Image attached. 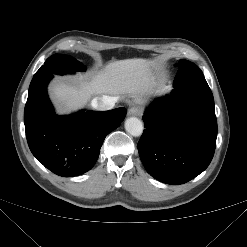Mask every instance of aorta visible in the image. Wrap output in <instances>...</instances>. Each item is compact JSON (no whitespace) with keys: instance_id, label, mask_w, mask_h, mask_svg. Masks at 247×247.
<instances>
[{"instance_id":"762f6f07","label":"aorta","mask_w":247,"mask_h":247,"mask_svg":"<svg viewBox=\"0 0 247 247\" xmlns=\"http://www.w3.org/2000/svg\"><path fill=\"white\" fill-rule=\"evenodd\" d=\"M125 129L128 134L134 137H139L142 135L144 127L140 119L130 117L125 121Z\"/></svg>"}]
</instances>
